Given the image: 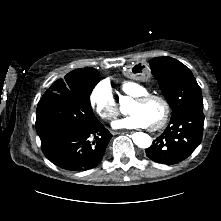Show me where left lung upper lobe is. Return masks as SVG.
Here are the masks:
<instances>
[{
  "label": "left lung upper lobe",
  "mask_w": 221,
  "mask_h": 221,
  "mask_svg": "<svg viewBox=\"0 0 221 221\" xmlns=\"http://www.w3.org/2000/svg\"><path fill=\"white\" fill-rule=\"evenodd\" d=\"M152 73L173 109V117L188 110L203 108L202 93L192 72L184 64L171 57H156L149 61ZM172 117V118H173ZM174 141L166 148V155L175 154Z\"/></svg>",
  "instance_id": "obj_1"
}]
</instances>
